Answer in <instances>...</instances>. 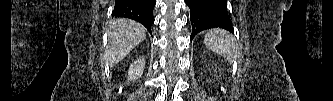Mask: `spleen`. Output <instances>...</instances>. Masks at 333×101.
I'll list each match as a JSON object with an SVG mask.
<instances>
[{
	"label": "spleen",
	"instance_id": "3e777b00",
	"mask_svg": "<svg viewBox=\"0 0 333 101\" xmlns=\"http://www.w3.org/2000/svg\"><path fill=\"white\" fill-rule=\"evenodd\" d=\"M205 46L226 58L230 63H233L240 56L239 46L234 36L223 30L213 29L208 31L204 36Z\"/></svg>",
	"mask_w": 333,
	"mask_h": 101
}]
</instances>
